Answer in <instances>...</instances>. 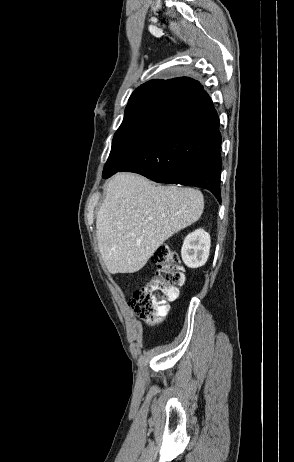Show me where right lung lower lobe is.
Here are the masks:
<instances>
[{
  "instance_id": "1",
  "label": "right lung lower lobe",
  "mask_w": 294,
  "mask_h": 462,
  "mask_svg": "<svg viewBox=\"0 0 294 462\" xmlns=\"http://www.w3.org/2000/svg\"><path fill=\"white\" fill-rule=\"evenodd\" d=\"M185 99L188 104L174 121L117 172L139 173L158 183L205 188L221 202L218 115L206 92L189 94Z\"/></svg>"
}]
</instances>
